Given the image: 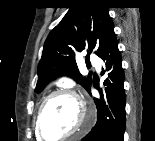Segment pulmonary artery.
<instances>
[{
    "label": "pulmonary artery",
    "instance_id": "1",
    "mask_svg": "<svg viewBox=\"0 0 155 141\" xmlns=\"http://www.w3.org/2000/svg\"><path fill=\"white\" fill-rule=\"evenodd\" d=\"M90 61L93 65H95L99 69L101 61L97 56H91Z\"/></svg>",
    "mask_w": 155,
    "mask_h": 141
}]
</instances>
